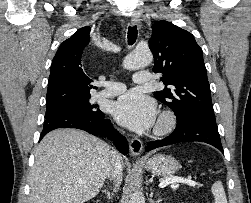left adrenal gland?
I'll use <instances>...</instances> for the list:
<instances>
[{
	"mask_svg": "<svg viewBox=\"0 0 251 203\" xmlns=\"http://www.w3.org/2000/svg\"><path fill=\"white\" fill-rule=\"evenodd\" d=\"M152 195H153V193L151 192L150 197H152ZM161 201H162V199H158L157 201H153V200L150 198V202H151V203H159V202H161Z\"/></svg>",
	"mask_w": 251,
	"mask_h": 203,
	"instance_id": "a2214340",
	"label": "left adrenal gland"
}]
</instances>
